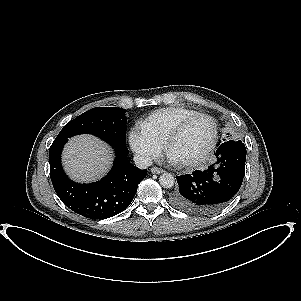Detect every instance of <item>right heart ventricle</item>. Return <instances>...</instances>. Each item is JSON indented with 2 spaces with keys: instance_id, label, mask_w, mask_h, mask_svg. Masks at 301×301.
Listing matches in <instances>:
<instances>
[{
  "instance_id": "obj_1",
  "label": "right heart ventricle",
  "mask_w": 301,
  "mask_h": 301,
  "mask_svg": "<svg viewBox=\"0 0 301 301\" xmlns=\"http://www.w3.org/2000/svg\"><path fill=\"white\" fill-rule=\"evenodd\" d=\"M198 114L185 107H167L149 114L141 123V129L153 140L163 144L169 133L185 119Z\"/></svg>"
}]
</instances>
